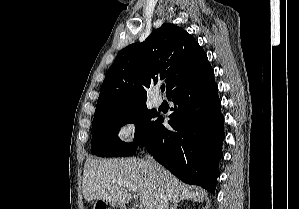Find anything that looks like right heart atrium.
I'll list each match as a JSON object with an SVG mask.
<instances>
[{
    "label": "right heart atrium",
    "instance_id": "obj_1",
    "mask_svg": "<svg viewBox=\"0 0 299 209\" xmlns=\"http://www.w3.org/2000/svg\"><path fill=\"white\" fill-rule=\"evenodd\" d=\"M139 133V124L132 117H124L120 119L113 132L114 138L122 143L133 142Z\"/></svg>",
    "mask_w": 299,
    "mask_h": 209
}]
</instances>
